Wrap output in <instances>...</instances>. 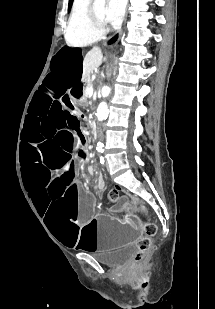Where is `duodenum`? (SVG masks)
<instances>
[{"instance_id":"410a0bca","label":"duodenum","mask_w":215,"mask_h":309,"mask_svg":"<svg viewBox=\"0 0 215 309\" xmlns=\"http://www.w3.org/2000/svg\"><path fill=\"white\" fill-rule=\"evenodd\" d=\"M90 127L95 136L98 135V123L95 119L90 120Z\"/></svg>"}]
</instances>
